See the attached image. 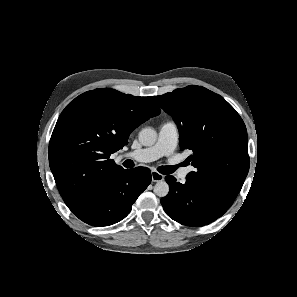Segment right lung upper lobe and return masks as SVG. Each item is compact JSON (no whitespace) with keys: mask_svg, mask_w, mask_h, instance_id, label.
Segmentation results:
<instances>
[{"mask_svg":"<svg viewBox=\"0 0 297 297\" xmlns=\"http://www.w3.org/2000/svg\"><path fill=\"white\" fill-rule=\"evenodd\" d=\"M159 114L152 97L107 88L85 92L66 106L53 130L48 155L58 190L72 212L124 170L110 155L128 143L136 127Z\"/></svg>","mask_w":297,"mask_h":297,"instance_id":"cb5924a9","label":"right lung upper lobe"}]
</instances>
